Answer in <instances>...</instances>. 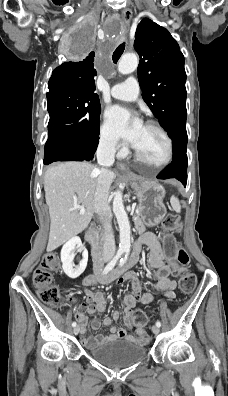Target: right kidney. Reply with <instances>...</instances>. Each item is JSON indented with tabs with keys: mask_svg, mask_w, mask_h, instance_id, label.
<instances>
[{
	"mask_svg": "<svg viewBox=\"0 0 228 396\" xmlns=\"http://www.w3.org/2000/svg\"><path fill=\"white\" fill-rule=\"evenodd\" d=\"M75 251L82 252V259L77 266L74 264ZM61 262L63 271L72 279L79 277L84 272L88 262V251L83 246L79 237H72L63 245L61 249Z\"/></svg>",
	"mask_w": 228,
	"mask_h": 396,
	"instance_id": "1",
	"label": "right kidney"
}]
</instances>
